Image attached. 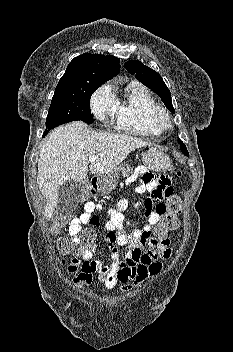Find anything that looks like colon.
<instances>
[{"instance_id":"5ec220e1","label":"colon","mask_w":233,"mask_h":352,"mask_svg":"<svg viewBox=\"0 0 233 352\" xmlns=\"http://www.w3.org/2000/svg\"><path fill=\"white\" fill-rule=\"evenodd\" d=\"M180 176L181 173L177 172ZM87 195V194H86ZM182 210V202L178 196H170L166 203L157 206V211L160 213L161 218L157 226L155 227V234L157 238H151L152 240H159L163 243L167 242L168 234L170 231L176 229L179 225L178 215ZM67 223V218L64 216L58 217L53 226L52 233L57 235L61 232L63 227ZM95 239V234L92 230H84L79 236L75 237H57L55 240L57 249L64 255H80L88 247H90Z\"/></svg>"}]
</instances>
